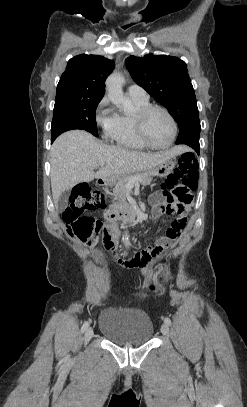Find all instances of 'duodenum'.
Masks as SVG:
<instances>
[{
  "mask_svg": "<svg viewBox=\"0 0 247 407\" xmlns=\"http://www.w3.org/2000/svg\"><path fill=\"white\" fill-rule=\"evenodd\" d=\"M98 184H102V180L97 181ZM137 209L132 208H122L113 207L105 212V218L107 222H116L117 225L120 223L132 222L137 217ZM120 233V232H119Z\"/></svg>",
  "mask_w": 247,
  "mask_h": 407,
  "instance_id": "obj_1",
  "label": "duodenum"
}]
</instances>
